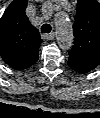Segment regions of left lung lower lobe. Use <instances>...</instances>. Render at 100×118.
<instances>
[{
    "mask_svg": "<svg viewBox=\"0 0 100 118\" xmlns=\"http://www.w3.org/2000/svg\"><path fill=\"white\" fill-rule=\"evenodd\" d=\"M73 70H75L76 72H79V73H82L84 74L83 72H81L80 70L76 69V68H72Z\"/></svg>",
    "mask_w": 100,
    "mask_h": 118,
    "instance_id": "left-lung-lower-lobe-1",
    "label": "left lung lower lobe"
}]
</instances>
